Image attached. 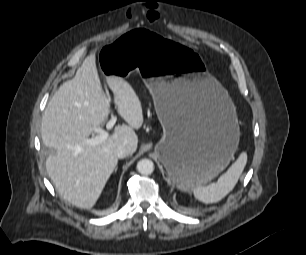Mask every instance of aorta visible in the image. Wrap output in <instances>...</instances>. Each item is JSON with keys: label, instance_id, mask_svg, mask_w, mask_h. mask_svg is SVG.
Listing matches in <instances>:
<instances>
[{"label": "aorta", "instance_id": "1", "mask_svg": "<svg viewBox=\"0 0 306 255\" xmlns=\"http://www.w3.org/2000/svg\"><path fill=\"white\" fill-rule=\"evenodd\" d=\"M137 170L141 174L149 175L154 170V163L150 159H141L137 163Z\"/></svg>", "mask_w": 306, "mask_h": 255}]
</instances>
